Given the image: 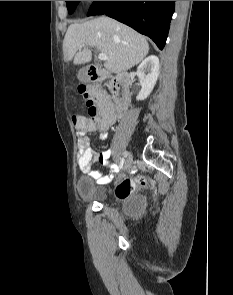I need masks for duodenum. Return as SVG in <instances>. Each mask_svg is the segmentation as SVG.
Listing matches in <instances>:
<instances>
[{
    "label": "duodenum",
    "mask_w": 233,
    "mask_h": 295,
    "mask_svg": "<svg viewBox=\"0 0 233 295\" xmlns=\"http://www.w3.org/2000/svg\"><path fill=\"white\" fill-rule=\"evenodd\" d=\"M108 72L98 67L92 66L87 70V78L90 81H100L108 77ZM112 91L114 94L115 106L119 115L124 114L130 104V93L128 89V76L119 73L112 81Z\"/></svg>",
    "instance_id": "duodenum-1"
}]
</instances>
